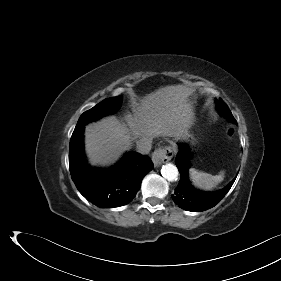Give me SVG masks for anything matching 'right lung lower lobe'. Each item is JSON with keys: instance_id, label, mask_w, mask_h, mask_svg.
Listing matches in <instances>:
<instances>
[{"instance_id": "1", "label": "right lung lower lobe", "mask_w": 281, "mask_h": 281, "mask_svg": "<svg viewBox=\"0 0 281 281\" xmlns=\"http://www.w3.org/2000/svg\"><path fill=\"white\" fill-rule=\"evenodd\" d=\"M83 130L84 126L75 128L69 149V169L77 189L100 208L126 205L135 197L153 163L147 156L128 152L112 168H91L84 154Z\"/></svg>"}]
</instances>
